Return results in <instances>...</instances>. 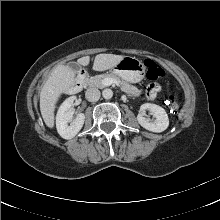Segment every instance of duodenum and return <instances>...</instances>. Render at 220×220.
<instances>
[{
  "label": "duodenum",
  "mask_w": 220,
  "mask_h": 220,
  "mask_svg": "<svg viewBox=\"0 0 220 220\" xmlns=\"http://www.w3.org/2000/svg\"><path fill=\"white\" fill-rule=\"evenodd\" d=\"M87 72L85 70L81 71L77 77L75 78L74 82L69 88V91L72 93L78 92L84 85L86 79Z\"/></svg>",
  "instance_id": "obj_1"
}]
</instances>
